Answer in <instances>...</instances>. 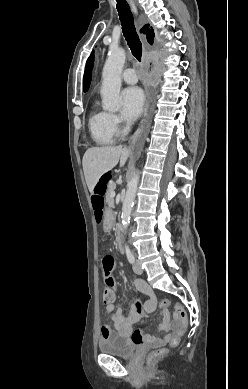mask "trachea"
<instances>
[{
	"label": "trachea",
	"instance_id": "1",
	"mask_svg": "<svg viewBox=\"0 0 248 389\" xmlns=\"http://www.w3.org/2000/svg\"><path fill=\"white\" fill-rule=\"evenodd\" d=\"M117 10L119 13L124 37L133 56L140 62L142 57V44L135 30L133 15L125 0H117Z\"/></svg>",
	"mask_w": 248,
	"mask_h": 389
}]
</instances>
